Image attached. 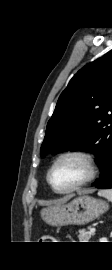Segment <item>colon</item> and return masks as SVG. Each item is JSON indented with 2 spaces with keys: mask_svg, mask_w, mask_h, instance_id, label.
I'll use <instances>...</instances> for the list:
<instances>
[{
  "mask_svg": "<svg viewBox=\"0 0 112 270\" xmlns=\"http://www.w3.org/2000/svg\"><path fill=\"white\" fill-rule=\"evenodd\" d=\"M51 237L50 236H44V239H50Z\"/></svg>",
  "mask_w": 112,
  "mask_h": 270,
  "instance_id": "obj_1",
  "label": "colon"
}]
</instances>
